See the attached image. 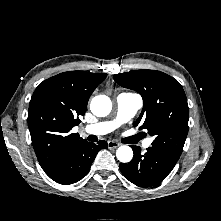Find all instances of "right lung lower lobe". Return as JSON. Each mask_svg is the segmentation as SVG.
<instances>
[{
    "label": "right lung lower lobe",
    "mask_w": 221,
    "mask_h": 221,
    "mask_svg": "<svg viewBox=\"0 0 221 221\" xmlns=\"http://www.w3.org/2000/svg\"><path fill=\"white\" fill-rule=\"evenodd\" d=\"M103 148H107L106 141L101 140L98 144L84 141L42 168L57 183H76L87 175L97 153Z\"/></svg>",
    "instance_id": "obj_1"
}]
</instances>
